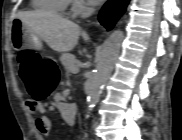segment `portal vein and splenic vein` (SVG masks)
Segmentation results:
<instances>
[{
  "label": "portal vein and splenic vein",
  "instance_id": "portal-vein-and-splenic-vein-1",
  "mask_svg": "<svg viewBox=\"0 0 182 140\" xmlns=\"http://www.w3.org/2000/svg\"><path fill=\"white\" fill-rule=\"evenodd\" d=\"M78 71H79L78 67L73 70L74 73H77Z\"/></svg>",
  "mask_w": 182,
  "mask_h": 140
}]
</instances>
